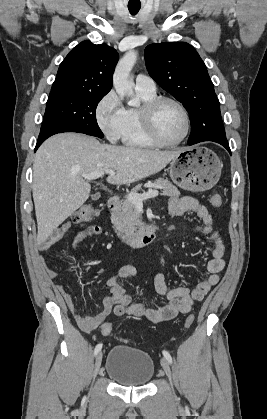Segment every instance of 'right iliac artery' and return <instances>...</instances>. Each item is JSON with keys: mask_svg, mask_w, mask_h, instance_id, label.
I'll use <instances>...</instances> for the list:
<instances>
[{"mask_svg": "<svg viewBox=\"0 0 267 419\" xmlns=\"http://www.w3.org/2000/svg\"><path fill=\"white\" fill-rule=\"evenodd\" d=\"M101 349H102V344L100 343L95 347L94 355H97L101 351Z\"/></svg>", "mask_w": 267, "mask_h": 419, "instance_id": "1", "label": "right iliac artery"}]
</instances>
